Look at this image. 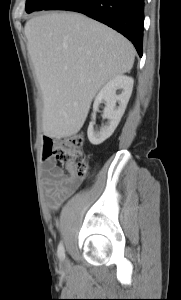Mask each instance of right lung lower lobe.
Returning a JSON list of instances; mask_svg holds the SVG:
<instances>
[{"instance_id":"1","label":"right lung lower lobe","mask_w":181,"mask_h":300,"mask_svg":"<svg viewBox=\"0 0 181 300\" xmlns=\"http://www.w3.org/2000/svg\"><path fill=\"white\" fill-rule=\"evenodd\" d=\"M43 10L83 13L123 34L142 56L144 0H55Z\"/></svg>"}]
</instances>
